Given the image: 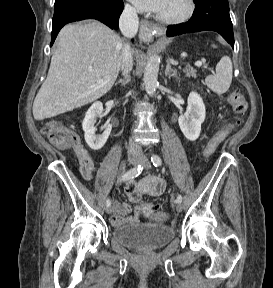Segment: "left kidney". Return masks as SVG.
<instances>
[{
	"instance_id": "1",
	"label": "left kidney",
	"mask_w": 273,
	"mask_h": 288,
	"mask_svg": "<svg viewBox=\"0 0 273 288\" xmlns=\"http://www.w3.org/2000/svg\"><path fill=\"white\" fill-rule=\"evenodd\" d=\"M205 116L206 110L202 98L198 93L192 91L188 96L186 112L178 118L180 129L188 140L198 139Z\"/></svg>"
}]
</instances>
